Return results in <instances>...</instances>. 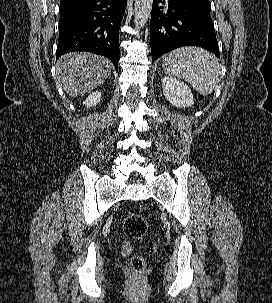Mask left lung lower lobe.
<instances>
[{
  "instance_id": "1",
  "label": "left lung lower lobe",
  "mask_w": 272,
  "mask_h": 303,
  "mask_svg": "<svg viewBox=\"0 0 272 303\" xmlns=\"http://www.w3.org/2000/svg\"><path fill=\"white\" fill-rule=\"evenodd\" d=\"M153 0L150 44L152 62L164 53L182 46H199L219 55L209 0Z\"/></svg>"
}]
</instances>
